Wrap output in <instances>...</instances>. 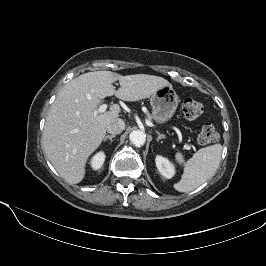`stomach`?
Masks as SVG:
<instances>
[{
	"label": "stomach",
	"instance_id": "0dacf381",
	"mask_svg": "<svg viewBox=\"0 0 266 266\" xmlns=\"http://www.w3.org/2000/svg\"><path fill=\"white\" fill-rule=\"evenodd\" d=\"M178 95L172 86H165L151 95L152 118L158 124H164L175 113L178 106Z\"/></svg>",
	"mask_w": 266,
	"mask_h": 266
}]
</instances>
